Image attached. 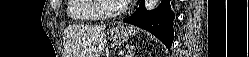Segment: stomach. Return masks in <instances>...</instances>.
Wrapping results in <instances>:
<instances>
[{
    "label": "stomach",
    "instance_id": "stomach-1",
    "mask_svg": "<svg viewBox=\"0 0 249 57\" xmlns=\"http://www.w3.org/2000/svg\"><path fill=\"white\" fill-rule=\"evenodd\" d=\"M135 33L136 31L132 27L118 25L111 30L110 35L116 43H124L128 41L129 37H133Z\"/></svg>",
    "mask_w": 249,
    "mask_h": 57
}]
</instances>
